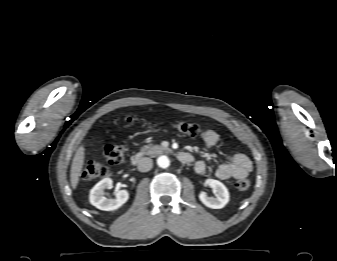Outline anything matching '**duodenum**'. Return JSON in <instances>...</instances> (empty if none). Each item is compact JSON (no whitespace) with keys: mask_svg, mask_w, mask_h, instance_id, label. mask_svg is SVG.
<instances>
[{"mask_svg":"<svg viewBox=\"0 0 337 261\" xmlns=\"http://www.w3.org/2000/svg\"><path fill=\"white\" fill-rule=\"evenodd\" d=\"M142 159H143V156L137 153L132 158V164L136 166L142 161ZM178 159L179 161L183 163H189L193 160V157L189 153L181 152L178 154Z\"/></svg>","mask_w":337,"mask_h":261,"instance_id":"410a0bca","label":"duodenum"}]
</instances>
